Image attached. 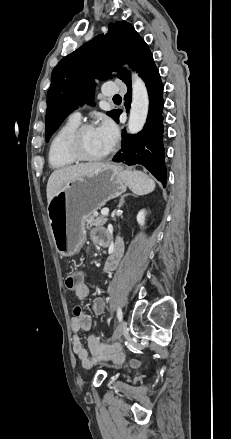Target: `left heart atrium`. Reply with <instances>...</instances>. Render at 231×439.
Here are the masks:
<instances>
[{"label": "left heart atrium", "instance_id": "1", "mask_svg": "<svg viewBox=\"0 0 231 439\" xmlns=\"http://www.w3.org/2000/svg\"><path fill=\"white\" fill-rule=\"evenodd\" d=\"M98 134L103 139L108 149H111L118 138V131L116 125L109 119H105L96 128Z\"/></svg>", "mask_w": 231, "mask_h": 439}]
</instances>
